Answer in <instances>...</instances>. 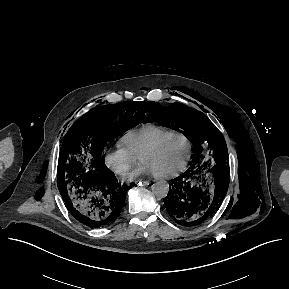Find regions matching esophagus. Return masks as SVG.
<instances>
[{"mask_svg":"<svg viewBox=\"0 0 289 289\" xmlns=\"http://www.w3.org/2000/svg\"><path fill=\"white\" fill-rule=\"evenodd\" d=\"M136 183H137V184H139V185H143V186H147V185H149V184H150V182H149V181H147V180H141V181H137Z\"/></svg>","mask_w":289,"mask_h":289,"instance_id":"1","label":"esophagus"}]
</instances>
